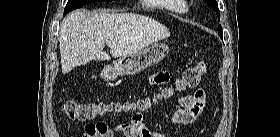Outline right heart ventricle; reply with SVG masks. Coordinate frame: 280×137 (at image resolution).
I'll return each instance as SVG.
<instances>
[{
  "label": "right heart ventricle",
  "mask_w": 280,
  "mask_h": 137,
  "mask_svg": "<svg viewBox=\"0 0 280 137\" xmlns=\"http://www.w3.org/2000/svg\"><path fill=\"white\" fill-rule=\"evenodd\" d=\"M148 2H163L166 9L176 14H184L189 10L185 0H145Z\"/></svg>",
  "instance_id": "right-heart-ventricle-1"
}]
</instances>
